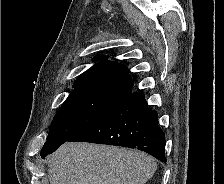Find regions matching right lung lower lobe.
I'll return each mask as SVG.
<instances>
[{"instance_id": "right-lung-lower-lobe-1", "label": "right lung lower lobe", "mask_w": 224, "mask_h": 184, "mask_svg": "<svg viewBox=\"0 0 224 184\" xmlns=\"http://www.w3.org/2000/svg\"><path fill=\"white\" fill-rule=\"evenodd\" d=\"M67 141L136 148L166 162L165 134L158 125L157 112L147 106L141 92H129L101 118ZM59 146L42 151L41 157L44 159Z\"/></svg>"}]
</instances>
